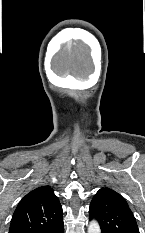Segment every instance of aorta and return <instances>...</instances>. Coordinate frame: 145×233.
I'll return each instance as SVG.
<instances>
[{"instance_id":"762f6f07","label":"aorta","mask_w":145,"mask_h":233,"mask_svg":"<svg viewBox=\"0 0 145 233\" xmlns=\"http://www.w3.org/2000/svg\"><path fill=\"white\" fill-rule=\"evenodd\" d=\"M88 233H101L100 226L96 220H92L88 226Z\"/></svg>"}]
</instances>
